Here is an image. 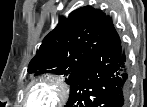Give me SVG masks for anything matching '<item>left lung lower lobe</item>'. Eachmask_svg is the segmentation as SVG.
Wrapping results in <instances>:
<instances>
[{
  "instance_id": "left-lung-lower-lobe-1",
  "label": "left lung lower lobe",
  "mask_w": 147,
  "mask_h": 107,
  "mask_svg": "<svg viewBox=\"0 0 147 107\" xmlns=\"http://www.w3.org/2000/svg\"><path fill=\"white\" fill-rule=\"evenodd\" d=\"M119 35L112 28L70 84L65 107H125L128 74Z\"/></svg>"
}]
</instances>
